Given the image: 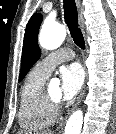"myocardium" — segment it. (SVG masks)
Here are the masks:
<instances>
[{
    "instance_id": "1",
    "label": "myocardium",
    "mask_w": 116,
    "mask_h": 134,
    "mask_svg": "<svg viewBox=\"0 0 116 134\" xmlns=\"http://www.w3.org/2000/svg\"><path fill=\"white\" fill-rule=\"evenodd\" d=\"M44 98L45 101L47 102V104L49 105V107L54 110L55 112H57L59 110L60 107V103L59 100H55L53 99L47 90L44 89Z\"/></svg>"
}]
</instances>
